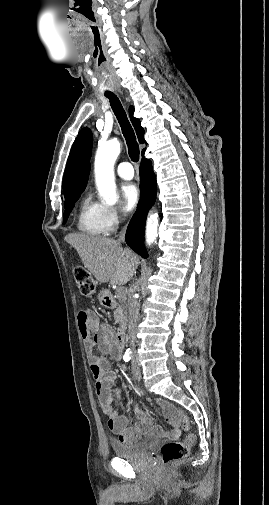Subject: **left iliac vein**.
Wrapping results in <instances>:
<instances>
[{
  "label": "left iliac vein",
  "mask_w": 269,
  "mask_h": 505,
  "mask_svg": "<svg viewBox=\"0 0 269 505\" xmlns=\"http://www.w3.org/2000/svg\"><path fill=\"white\" fill-rule=\"evenodd\" d=\"M132 373L136 381L141 380V371L135 359L132 360Z\"/></svg>",
  "instance_id": "obj_1"
}]
</instances>
